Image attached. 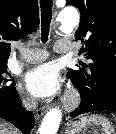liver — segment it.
<instances>
[{
	"instance_id": "6515ba94",
	"label": "liver",
	"mask_w": 116,
	"mask_h": 134,
	"mask_svg": "<svg viewBox=\"0 0 116 134\" xmlns=\"http://www.w3.org/2000/svg\"><path fill=\"white\" fill-rule=\"evenodd\" d=\"M0 134H18V131L6 122L0 121Z\"/></svg>"
}]
</instances>
